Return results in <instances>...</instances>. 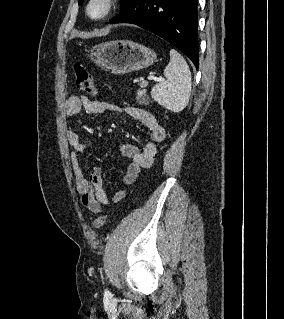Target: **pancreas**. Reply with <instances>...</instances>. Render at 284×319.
Listing matches in <instances>:
<instances>
[{
  "label": "pancreas",
  "mask_w": 284,
  "mask_h": 319,
  "mask_svg": "<svg viewBox=\"0 0 284 319\" xmlns=\"http://www.w3.org/2000/svg\"><path fill=\"white\" fill-rule=\"evenodd\" d=\"M148 83L146 81H142L140 83V87L142 89H139L138 92H137V97H136V100H137V103L140 104V105H147L149 103V97L148 95H146V90L144 89L145 87H147Z\"/></svg>",
  "instance_id": "1"
}]
</instances>
